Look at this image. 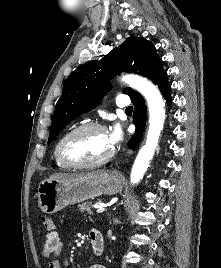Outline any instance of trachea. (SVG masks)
<instances>
[{
  "instance_id": "trachea-1",
  "label": "trachea",
  "mask_w": 221,
  "mask_h": 268,
  "mask_svg": "<svg viewBox=\"0 0 221 268\" xmlns=\"http://www.w3.org/2000/svg\"><path fill=\"white\" fill-rule=\"evenodd\" d=\"M132 110H133V107H132V106H129V107L126 108V111H127V112H130V111H132Z\"/></svg>"
}]
</instances>
